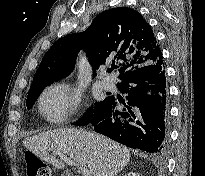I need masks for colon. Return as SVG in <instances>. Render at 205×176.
<instances>
[{
    "mask_svg": "<svg viewBox=\"0 0 205 176\" xmlns=\"http://www.w3.org/2000/svg\"><path fill=\"white\" fill-rule=\"evenodd\" d=\"M26 164L27 176H51L49 166L31 151H25L23 155Z\"/></svg>",
    "mask_w": 205,
    "mask_h": 176,
    "instance_id": "1",
    "label": "colon"
}]
</instances>
